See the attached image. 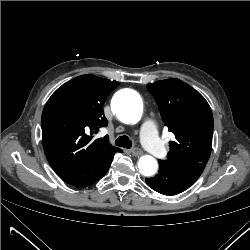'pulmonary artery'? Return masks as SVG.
I'll list each match as a JSON object with an SVG mask.
<instances>
[{
    "mask_svg": "<svg viewBox=\"0 0 250 250\" xmlns=\"http://www.w3.org/2000/svg\"><path fill=\"white\" fill-rule=\"evenodd\" d=\"M141 139L146 149L155 157H162L166 149L158 137L157 127L152 122H146L141 127Z\"/></svg>",
    "mask_w": 250,
    "mask_h": 250,
    "instance_id": "pulmonary-artery-1",
    "label": "pulmonary artery"
}]
</instances>
